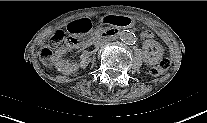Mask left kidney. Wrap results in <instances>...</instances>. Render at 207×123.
<instances>
[{"instance_id":"1","label":"left kidney","mask_w":207,"mask_h":123,"mask_svg":"<svg viewBox=\"0 0 207 123\" xmlns=\"http://www.w3.org/2000/svg\"><path fill=\"white\" fill-rule=\"evenodd\" d=\"M156 48L159 50L161 47L159 45L156 46ZM159 56L157 55L155 57H150L148 54L145 55V62L148 64H155L159 60Z\"/></svg>"}]
</instances>
